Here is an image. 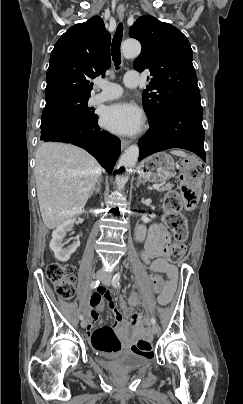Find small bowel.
<instances>
[{"label":"small bowel","instance_id":"1","mask_svg":"<svg viewBox=\"0 0 243 404\" xmlns=\"http://www.w3.org/2000/svg\"><path fill=\"white\" fill-rule=\"evenodd\" d=\"M137 237L144 243L142 251L143 260L150 266L152 271L165 273L167 275L168 279L165 283V287L158 296L159 303L166 305L174 295L178 279L177 268L163 258L167 243L170 240L169 232L163 225L156 224L148 231L144 227H140L137 232ZM105 301L108 303L109 310L113 312L116 318L114 325L116 335L125 344L131 345L144 331L141 316L134 314L129 322L124 321L115 306L111 291L103 287H100L90 298L91 311L87 322L88 329H91L94 323L99 319ZM130 326L134 327L131 335L128 333Z\"/></svg>","mask_w":243,"mask_h":404}]
</instances>
